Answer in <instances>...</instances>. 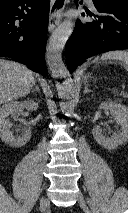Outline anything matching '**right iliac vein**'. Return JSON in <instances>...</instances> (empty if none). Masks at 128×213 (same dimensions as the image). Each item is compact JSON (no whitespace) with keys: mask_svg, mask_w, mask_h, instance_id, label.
Returning <instances> with one entry per match:
<instances>
[{"mask_svg":"<svg viewBox=\"0 0 128 213\" xmlns=\"http://www.w3.org/2000/svg\"><path fill=\"white\" fill-rule=\"evenodd\" d=\"M48 204V200L46 199V198H43L42 200H41V202H40V206L41 207H44V206H46Z\"/></svg>","mask_w":128,"mask_h":213,"instance_id":"1","label":"right iliac vein"}]
</instances>
